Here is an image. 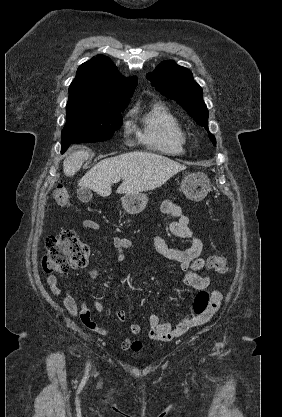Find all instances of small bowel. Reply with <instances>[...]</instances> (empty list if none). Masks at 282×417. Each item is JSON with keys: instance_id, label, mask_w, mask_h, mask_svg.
<instances>
[{"instance_id": "c3829d8e", "label": "small bowel", "mask_w": 282, "mask_h": 417, "mask_svg": "<svg viewBox=\"0 0 282 417\" xmlns=\"http://www.w3.org/2000/svg\"><path fill=\"white\" fill-rule=\"evenodd\" d=\"M160 209L163 214L171 215L175 218L168 226L170 233L176 237L189 241L190 244L186 248H174L169 246L160 234H156L153 237L155 251L164 259L178 264L182 273L184 285L197 291L207 289L210 284V278L203 270L209 262L206 258L201 257L203 242L200 238L195 236L189 227L188 216L184 214L179 205L170 200L163 201ZM82 226L88 230L103 232L102 227L92 220H84ZM107 240L115 252L116 260L119 262L124 261L126 258V251L133 245L132 240L121 236L107 237ZM88 276L92 279H97L99 277V272L96 269L91 268L88 271ZM47 284L55 296H59L62 293L57 284L56 276L49 275L47 277ZM63 303L68 313L75 318H79L86 328L104 336L109 334L108 329L99 326L93 320L91 312L86 305L83 304L79 310L76 300L69 289L65 291ZM221 304L222 294L219 291H212L210 294L209 306L203 314L194 316L185 315L181 317L175 325L162 322L156 314H151L148 318V337L151 340L171 341L183 335L189 329L200 327L209 322L219 311ZM93 305L97 312L104 311V306L100 301H94ZM84 309H87L90 313V316L86 320L82 319ZM114 314L118 321L124 322L126 320L127 315L123 309H116ZM128 331L129 336L121 342V350L134 353L140 352L143 343L133 336L141 332V326L139 324H131Z\"/></svg>"}]
</instances>
